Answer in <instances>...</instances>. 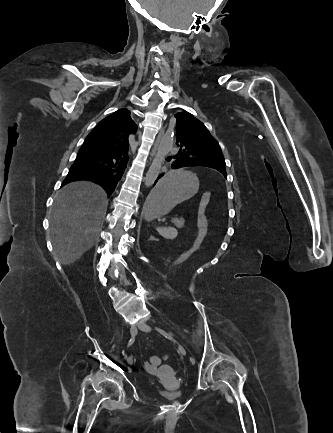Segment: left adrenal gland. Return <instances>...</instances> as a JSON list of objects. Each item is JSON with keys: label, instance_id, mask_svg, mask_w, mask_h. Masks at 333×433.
<instances>
[{"label": "left adrenal gland", "instance_id": "obj_1", "mask_svg": "<svg viewBox=\"0 0 333 433\" xmlns=\"http://www.w3.org/2000/svg\"><path fill=\"white\" fill-rule=\"evenodd\" d=\"M149 240H154L153 236H150Z\"/></svg>", "mask_w": 333, "mask_h": 433}]
</instances>
